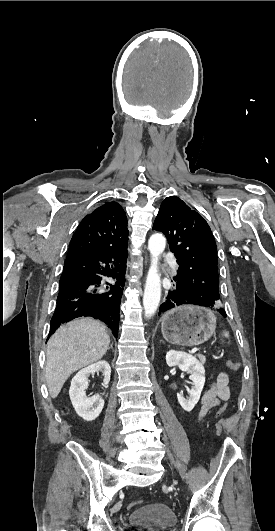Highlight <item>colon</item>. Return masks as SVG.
I'll use <instances>...</instances> for the list:
<instances>
[{"instance_id": "5ec220e1", "label": "colon", "mask_w": 275, "mask_h": 531, "mask_svg": "<svg viewBox=\"0 0 275 531\" xmlns=\"http://www.w3.org/2000/svg\"><path fill=\"white\" fill-rule=\"evenodd\" d=\"M227 366H228V368H230L233 371H238L240 369L239 362L236 361V360H232V359L227 361ZM227 407H228L227 402H225V401L220 402V404L217 406V408H216V410L214 412V418L216 420H219V419L223 418L224 415L228 411ZM141 503H142V501L140 499H137V500H134V501L130 502L129 503V507L136 506V505H139Z\"/></svg>"}]
</instances>
